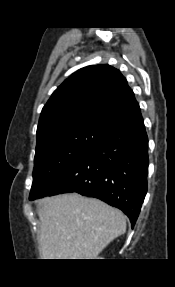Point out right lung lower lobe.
I'll return each mask as SVG.
<instances>
[{
    "mask_svg": "<svg viewBox=\"0 0 175 287\" xmlns=\"http://www.w3.org/2000/svg\"><path fill=\"white\" fill-rule=\"evenodd\" d=\"M148 164V137L139 111L115 124L85 155L30 200L77 192L117 207L134 225L147 192Z\"/></svg>",
    "mask_w": 175,
    "mask_h": 287,
    "instance_id": "98d812e1",
    "label": "right lung lower lobe"
}]
</instances>
